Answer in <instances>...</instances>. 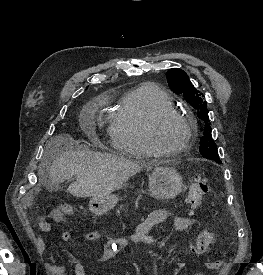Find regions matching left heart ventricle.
Returning a JSON list of instances; mask_svg holds the SVG:
<instances>
[{
    "mask_svg": "<svg viewBox=\"0 0 263 275\" xmlns=\"http://www.w3.org/2000/svg\"><path fill=\"white\" fill-rule=\"evenodd\" d=\"M159 144L167 149L177 148L182 145L187 138L186 125L176 118L165 120L156 132Z\"/></svg>",
    "mask_w": 263,
    "mask_h": 275,
    "instance_id": "1",
    "label": "left heart ventricle"
}]
</instances>
